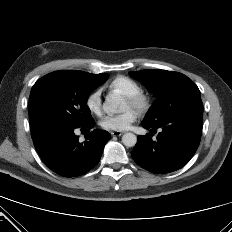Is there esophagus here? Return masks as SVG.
I'll use <instances>...</instances> for the list:
<instances>
[{"mask_svg": "<svg viewBox=\"0 0 232 232\" xmlns=\"http://www.w3.org/2000/svg\"><path fill=\"white\" fill-rule=\"evenodd\" d=\"M110 134H111V136H121V135H122V132L111 131Z\"/></svg>", "mask_w": 232, "mask_h": 232, "instance_id": "esophagus-1", "label": "esophagus"}]
</instances>
